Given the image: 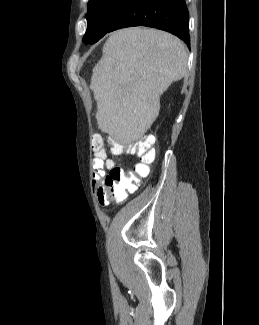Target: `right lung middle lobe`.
<instances>
[{
	"label": "right lung middle lobe",
	"instance_id": "obj_1",
	"mask_svg": "<svg viewBox=\"0 0 259 325\" xmlns=\"http://www.w3.org/2000/svg\"><path fill=\"white\" fill-rule=\"evenodd\" d=\"M130 0H89L87 30L83 43L94 44L109 30L113 21Z\"/></svg>",
	"mask_w": 259,
	"mask_h": 325
}]
</instances>
